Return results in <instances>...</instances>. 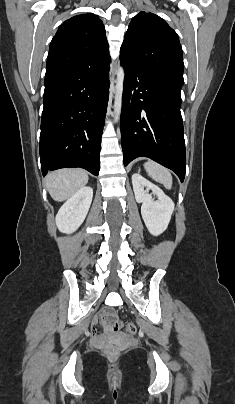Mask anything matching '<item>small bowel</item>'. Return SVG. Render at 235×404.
I'll return each mask as SVG.
<instances>
[{
  "label": "small bowel",
  "instance_id": "1",
  "mask_svg": "<svg viewBox=\"0 0 235 404\" xmlns=\"http://www.w3.org/2000/svg\"><path fill=\"white\" fill-rule=\"evenodd\" d=\"M104 317V310L101 311L100 315L98 317L95 318V321L100 320ZM95 331V328L92 327V332Z\"/></svg>",
  "mask_w": 235,
  "mask_h": 404
}]
</instances>
